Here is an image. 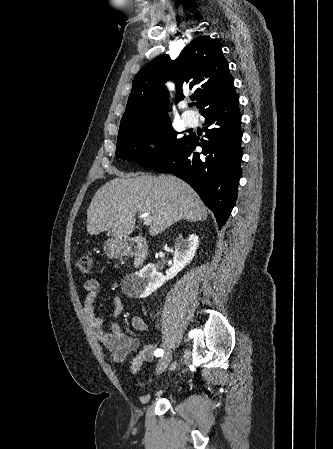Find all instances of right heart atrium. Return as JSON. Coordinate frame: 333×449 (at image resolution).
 Wrapping results in <instances>:
<instances>
[{
    "mask_svg": "<svg viewBox=\"0 0 333 449\" xmlns=\"http://www.w3.org/2000/svg\"><path fill=\"white\" fill-rule=\"evenodd\" d=\"M160 148V144L158 141L155 140H149L144 143L142 150L145 154H153L157 152Z\"/></svg>",
    "mask_w": 333,
    "mask_h": 449,
    "instance_id": "d8ad5b80",
    "label": "right heart atrium"
}]
</instances>
